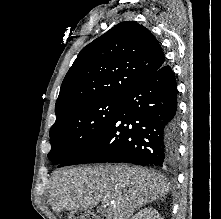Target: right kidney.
<instances>
[{
  "mask_svg": "<svg viewBox=\"0 0 221 219\" xmlns=\"http://www.w3.org/2000/svg\"><path fill=\"white\" fill-rule=\"evenodd\" d=\"M131 219H163L156 209L144 208L136 213Z\"/></svg>",
  "mask_w": 221,
  "mask_h": 219,
  "instance_id": "obj_1",
  "label": "right kidney"
}]
</instances>
